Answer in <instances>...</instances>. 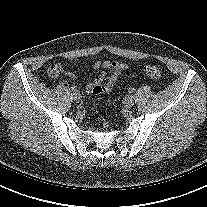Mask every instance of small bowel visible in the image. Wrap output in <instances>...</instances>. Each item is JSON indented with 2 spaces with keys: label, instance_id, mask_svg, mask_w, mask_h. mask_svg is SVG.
Listing matches in <instances>:
<instances>
[{
  "label": "small bowel",
  "instance_id": "c3829d8e",
  "mask_svg": "<svg viewBox=\"0 0 207 207\" xmlns=\"http://www.w3.org/2000/svg\"><path fill=\"white\" fill-rule=\"evenodd\" d=\"M95 70H101L98 79L85 86V90L88 94L98 96L111 92L119 76L128 69V64L124 62H118L114 60H106L103 62L96 61L93 64ZM60 73H65L70 79H75L76 75L71 71H66L60 63L52 65L48 74L52 78H56ZM72 87L80 89V86L70 83Z\"/></svg>",
  "mask_w": 207,
  "mask_h": 207
}]
</instances>
